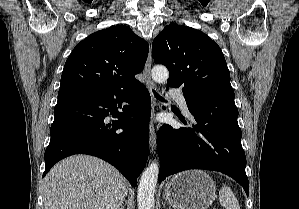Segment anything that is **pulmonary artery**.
<instances>
[{
  "label": "pulmonary artery",
  "instance_id": "e3ab8cb5",
  "mask_svg": "<svg viewBox=\"0 0 299 209\" xmlns=\"http://www.w3.org/2000/svg\"><path fill=\"white\" fill-rule=\"evenodd\" d=\"M170 94L177 101V103L179 104L182 111L186 115H189L188 106H187L186 99H185L183 93L179 90H171Z\"/></svg>",
  "mask_w": 299,
  "mask_h": 209
}]
</instances>
